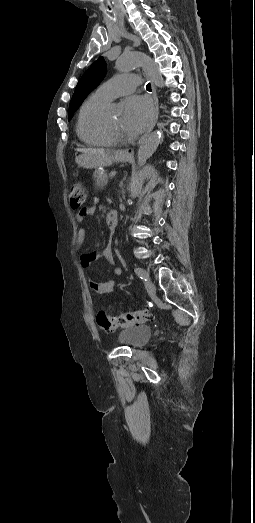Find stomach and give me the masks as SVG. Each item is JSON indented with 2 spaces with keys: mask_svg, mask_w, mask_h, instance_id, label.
I'll use <instances>...</instances> for the list:
<instances>
[{
  "mask_svg": "<svg viewBox=\"0 0 255 523\" xmlns=\"http://www.w3.org/2000/svg\"><path fill=\"white\" fill-rule=\"evenodd\" d=\"M132 154L128 150H120L115 154H106L99 156L96 151H89L86 156H78L76 164L82 168H105L111 166L113 162H129Z\"/></svg>",
  "mask_w": 255,
  "mask_h": 523,
  "instance_id": "0dacf381",
  "label": "stomach"
}]
</instances>
